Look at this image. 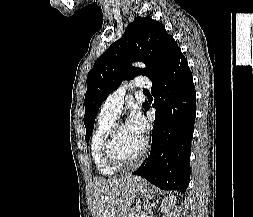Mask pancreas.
<instances>
[{"mask_svg": "<svg viewBox=\"0 0 253 217\" xmlns=\"http://www.w3.org/2000/svg\"><path fill=\"white\" fill-rule=\"evenodd\" d=\"M137 212H138L137 210H131L128 213H126L124 217H135L134 214Z\"/></svg>", "mask_w": 253, "mask_h": 217, "instance_id": "pancreas-1", "label": "pancreas"}]
</instances>
